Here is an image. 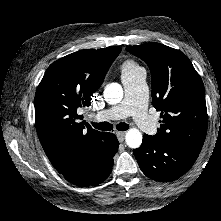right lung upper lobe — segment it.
I'll use <instances>...</instances> for the list:
<instances>
[{"mask_svg": "<svg viewBox=\"0 0 221 221\" xmlns=\"http://www.w3.org/2000/svg\"><path fill=\"white\" fill-rule=\"evenodd\" d=\"M120 47L81 50L52 63L35 94V126L42 147L57 171L95 157L102 132L77 114L89 106Z\"/></svg>", "mask_w": 221, "mask_h": 221, "instance_id": "obj_1", "label": "right lung upper lobe"}]
</instances>
